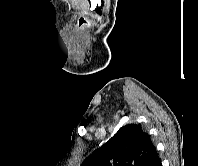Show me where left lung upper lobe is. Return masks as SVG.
<instances>
[{
	"label": "left lung upper lobe",
	"mask_w": 198,
	"mask_h": 166,
	"mask_svg": "<svg viewBox=\"0 0 198 166\" xmlns=\"http://www.w3.org/2000/svg\"><path fill=\"white\" fill-rule=\"evenodd\" d=\"M157 151L150 136L136 124L121 127L81 166H150Z\"/></svg>",
	"instance_id": "obj_1"
}]
</instances>
